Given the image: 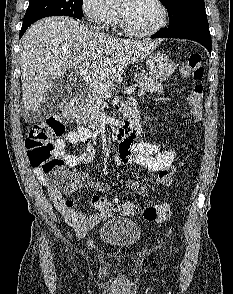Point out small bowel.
I'll return each instance as SVG.
<instances>
[{
	"label": "small bowel",
	"instance_id": "small-bowel-1",
	"mask_svg": "<svg viewBox=\"0 0 233 294\" xmlns=\"http://www.w3.org/2000/svg\"><path fill=\"white\" fill-rule=\"evenodd\" d=\"M84 143L85 150L81 154H70L66 152V144ZM57 152L62 156L66 165L69 167H77L90 164L95 157V148L91 142V133L83 125L78 124L74 130L69 131L65 136L55 140ZM116 163L119 165H129L135 163L144 170L157 173L155 182L159 185L168 186L172 183L175 173V152L172 148L160 151L157 144L153 142H122L118 147ZM36 175L39 181L47 188L48 194L52 202L59 209L67 223L77 232L85 233L93 226L106 220L111 216L112 211L117 207L111 204L102 196H92L91 204L98 212L87 214L75 207L73 200L64 198L62 191L54 188L48 177L41 171L36 169ZM77 187H91L100 192H108L110 186L107 183L94 180L85 173L76 172L73 174ZM128 186L136 193L144 195L147 187L140 184L137 179L128 182Z\"/></svg>",
	"mask_w": 233,
	"mask_h": 294
}]
</instances>
